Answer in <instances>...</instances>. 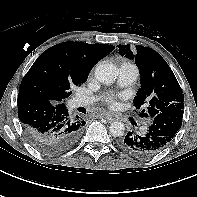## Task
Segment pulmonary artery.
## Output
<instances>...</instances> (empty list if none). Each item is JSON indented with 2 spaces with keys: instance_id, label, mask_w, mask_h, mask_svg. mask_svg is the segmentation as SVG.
Instances as JSON below:
<instances>
[{
  "instance_id": "obj_1",
  "label": "pulmonary artery",
  "mask_w": 197,
  "mask_h": 197,
  "mask_svg": "<svg viewBox=\"0 0 197 197\" xmlns=\"http://www.w3.org/2000/svg\"><path fill=\"white\" fill-rule=\"evenodd\" d=\"M118 73H119V83L121 86L131 85L134 81H136L139 75L137 67L131 63L121 64L118 69ZM93 101H94L93 97L80 95L74 98L73 105L85 106V105L93 103ZM147 130H148L147 126H143L141 128L142 133H146Z\"/></svg>"
}]
</instances>
